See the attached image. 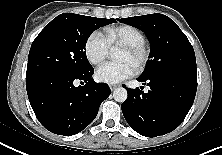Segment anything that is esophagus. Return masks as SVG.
I'll return each instance as SVG.
<instances>
[{
  "label": "esophagus",
  "instance_id": "esophagus-1",
  "mask_svg": "<svg viewBox=\"0 0 222 155\" xmlns=\"http://www.w3.org/2000/svg\"><path fill=\"white\" fill-rule=\"evenodd\" d=\"M109 87H110L111 91H113V90H115L118 87V85L110 84Z\"/></svg>",
  "mask_w": 222,
  "mask_h": 155
}]
</instances>
